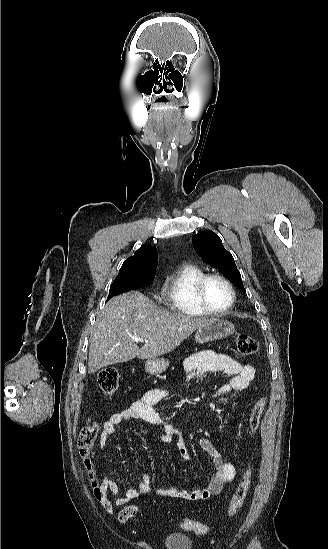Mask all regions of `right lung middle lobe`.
I'll return each mask as SVG.
<instances>
[{"label":"right lung middle lobe","mask_w":328,"mask_h":549,"mask_svg":"<svg viewBox=\"0 0 328 549\" xmlns=\"http://www.w3.org/2000/svg\"><path fill=\"white\" fill-rule=\"evenodd\" d=\"M156 268V263H145L120 271L110 286L107 301L118 294L151 284L155 276Z\"/></svg>","instance_id":"obj_1"}]
</instances>
